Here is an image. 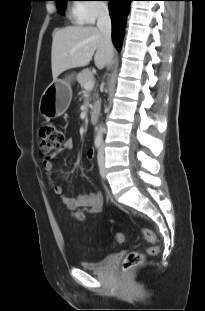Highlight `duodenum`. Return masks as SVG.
<instances>
[{"label": "duodenum", "mask_w": 205, "mask_h": 311, "mask_svg": "<svg viewBox=\"0 0 205 311\" xmlns=\"http://www.w3.org/2000/svg\"><path fill=\"white\" fill-rule=\"evenodd\" d=\"M99 111H100V105L98 103H93L90 108V112H89L91 122L93 123L97 122Z\"/></svg>", "instance_id": "1"}]
</instances>
